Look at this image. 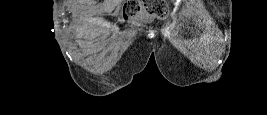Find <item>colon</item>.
Instances as JSON below:
<instances>
[{"label":"colon","mask_w":267,"mask_h":115,"mask_svg":"<svg viewBox=\"0 0 267 115\" xmlns=\"http://www.w3.org/2000/svg\"><path fill=\"white\" fill-rule=\"evenodd\" d=\"M144 6L158 18H165L168 15V5L165 1H143ZM140 1H129L124 5L123 16L125 19H131L139 12Z\"/></svg>","instance_id":"colon-1"}]
</instances>
